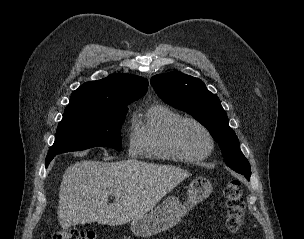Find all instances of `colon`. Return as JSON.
Here are the masks:
<instances>
[{"instance_id":"1","label":"colon","mask_w":304,"mask_h":239,"mask_svg":"<svg viewBox=\"0 0 304 239\" xmlns=\"http://www.w3.org/2000/svg\"><path fill=\"white\" fill-rule=\"evenodd\" d=\"M223 197L226 208L225 229L228 233L235 234L243 225L245 213L240 182L238 180L228 181L223 189ZM52 239H95V234L90 231L60 229L53 234Z\"/></svg>"}]
</instances>
